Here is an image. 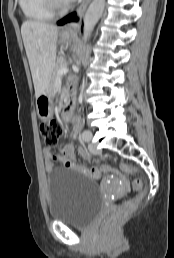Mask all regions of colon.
I'll return each instance as SVG.
<instances>
[{
    "label": "colon",
    "mask_w": 174,
    "mask_h": 258,
    "mask_svg": "<svg viewBox=\"0 0 174 258\" xmlns=\"http://www.w3.org/2000/svg\"><path fill=\"white\" fill-rule=\"evenodd\" d=\"M40 133L46 146L52 147L58 143L63 133V126L58 120L44 122L40 125ZM121 169L129 174L138 173L134 167L127 164H122ZM142 184V178H136L132 183L133 190L140 191ZM139 199L140 197H137L122 203L114 212L106 217L102 224L103 233L105 235H110L113 233L124 218L136 208Z\"/></svg>",
    "instance_id": "colon-1"
}]
</instances>
